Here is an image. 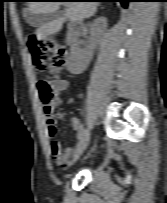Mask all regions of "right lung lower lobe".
Returning <instances> with one entry per match:
<instances>
[{
  "label": "right lung lower lobe",
  "instance_id": "98d812e1",
  "mask_svg": "<svg viewBox=\"0 0 167 203\" xmlns=\"http://www.w3.org/2000/svg\"><path fill=\"white\" fill-rule=\"evenodd\" d=\"M92 1H99V2H120L124 8L127 7L128 2L132 0H92Z\"/></svg>",
  "mask_w": 167,
  "mask_h": 203
}]
</instances>
